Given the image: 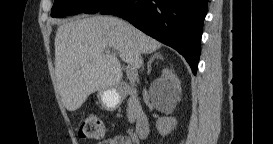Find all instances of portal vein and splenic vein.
<instances>
[{"instance_id": "1", "label": "portal vein and splenic vein", "mask_w": 273, "mask_h": 144, "mask_svg": "<svg viewBox=\"0 0 273 144\" xmlns=\"http://www.w3.org/2000/svg\"><path fill=\"white\" fill-rule=\"evenodd\" d=\"M127 76H128V79L131 81V82H135L137 80V73L136 71L131 68L130 66L127 67Z\"/></svg>"}]
</instances>
